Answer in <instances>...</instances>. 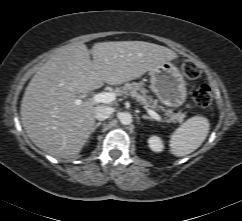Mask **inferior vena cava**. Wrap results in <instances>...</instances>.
Returning a JSON list of instances; mask_svg holds the SVG:
<instances>
[{"label":"inferior vena cava","mask_w":242,"mask_h":221,"mask_svg":"<svg viewBox=\"0 0 242 221\" xmlns=\"http://www.w3.org/2000/svg\"><path fill=\"white\" fill-rule=\"evenodd\" d=\"M113 112H114L113 108L100 105L95 107V118L99 121H103L107 119Z\"/></svg>","instance_id":"inferior-vena-cava-1"}]
</instances>
